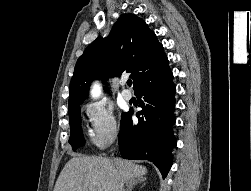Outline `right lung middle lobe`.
<instances>
[{"label":"right lung middle lobe","mask_w":251,"mask_h":191,"mask_svg":"<svg viewBox=\"0 0 251 191\" xmlns=\"http://www.w3.org/2000/svg\"><path fill=\"white\" fill-rule=\"evenodd\" d=\"M127 114L128 113L122 114L121 123L126 118ZM69 120L71 128L69 143L71 144L73 151H76L79 147L85 144V139L81 129V110L79 106L69 108Z\"/></svg>","instance_id":"obj_1"}]
</instances>
